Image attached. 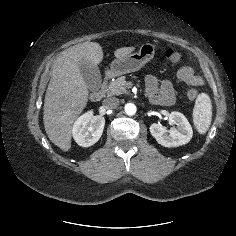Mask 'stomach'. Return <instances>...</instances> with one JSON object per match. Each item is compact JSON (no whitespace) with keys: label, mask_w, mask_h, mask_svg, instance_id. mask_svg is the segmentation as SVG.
Masks as SVG:
<instances>
[{"label":"stomach","mask_w":236,"mask_h":236,"mask_svg":"<svg viewBox=\"0 0 236 236\" xmlns=\"http://www.w3.org/2000/svg\"><path fill=\"white\" fill-rule=\"evenodd\" d=\"M156 47L152 43H144L138 52L116 58L111 63V73L115 76L135 72L151 61L155 55Z\"/></svg>","instance_id":"stomach-1"}]
</instances>
